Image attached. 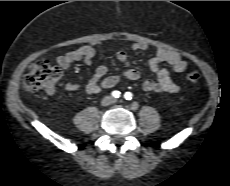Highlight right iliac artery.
Listing matches in <instances>:
<instances>
[{
    "label": "right iliac artery",
    "mask_w": 230,
    "mask_h": 186,
    "mask_svg": "<svg viewBox=\"0 0 230 186\" xmlns=\"http://www.w3.org/2000/svg\"><path fill=\"white\" fill-rule=\"evenodd\" d=\"M120 92L119 91H117V90H115V91H113L112 92V97H114V98H119L120 97Z\"/></svg>",
    "instance_id": "right-iliac-artery-1"
}]
</instances>
